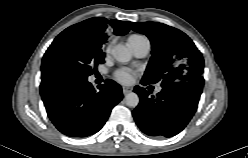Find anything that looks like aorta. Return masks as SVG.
<instances>
[{
  "instance_id": "obj_1",
  "label": "aorta",
  "mask_w": 248,
  "mask_h": 158,
  "mask_svg": "<svg viewBox=\"0 0 248 158\" xmlns=\"http://www.w3.org/2000/svg\"><path fill=\"white\" fill-rule=\"evenodd\" d=\"M113 57L120 63H126L131 59L130 50L121 44L115 45L112 48ZM125 103L129 107H136L139 104V97L136 93L130 92L125 96Z\"/></svg>"
}]
</instances>
